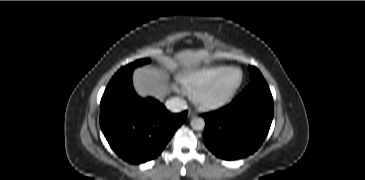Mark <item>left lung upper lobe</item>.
Returning <instances> with one entry per match:
<instances>
[{
  "label": "left lung upper lobe",
  "instance_id": "1",
  "mask_svg": "<svg viewBox=\"0 0 365 180\" xmlns=\"http://www.w3.org/2000/svg\"><path fill=\"white\" fill-rule=\"evenodd\" d=\"M249 71H250L251 82L256 81V80H260V79H264L262 74L260 73V71L256 67L249 66Z\"/></svg>",
  "mask_w": 365,
  "mask_h": 180
}]
</instances>
